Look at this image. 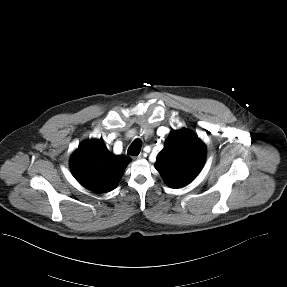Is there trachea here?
<instances>
[{
	"label": "trachea",
	"instance_id": "3493384b",
	"mask_svg": "<svg viewBox=\"0 0 287 287\" xmlns=\"http://www.w3.org/2000/svg\"><path fill=\"white\" fill-rule=\"evenodd\" d=\"M141 141L140 139H135L132 144L129 146L127 153L132 155V156H137L139 155L140 151H141Z\"/></svg>",
	"mask_w": 287,
	"mask_h": 287
}]
</instances>
